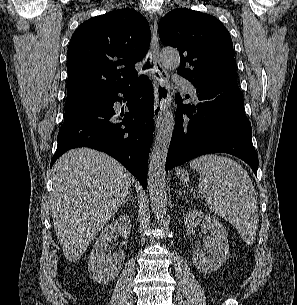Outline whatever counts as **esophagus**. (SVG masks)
Segmentation results:
<instances>
[{"instance_id":"obj_1","label":"esophagus","mask_w":297,"mask_h":305,"mask_svg":"<svg viewBox=\"0 0 297 305\" xmlns=\"http://www.w3.org/2000/svg\"><path fill=\"white\" fill-rule=\"evenodd\" d=\"M157 24V18L153 17V24L151 26L153 61L155 68L161 77V79H155L154 81V123L156 128L161 124L166 104L170 99L169 76L160 59Z\"/></svg>"}]
</instances>
